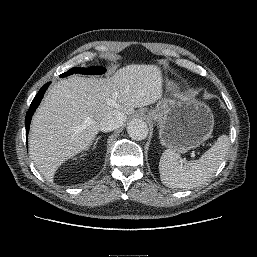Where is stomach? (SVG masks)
<instances>
[{"label": "stomach", "instance_id": "obj_1", "mask_svg": "<svg viewBox=\"0 0 257 257\" xmlns=\"http://www.w3.org/2000/svg\"><path fill=\"white\" fill-rule=\"evenodd\" d=\"M147 118L159 124L160 143L177 153L199 147L214 127L211 109L190 96L161 100Z\"/></svg>", "mask_w": 257, "mask_h": 257}]
</instances>
